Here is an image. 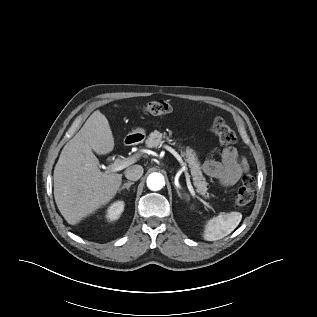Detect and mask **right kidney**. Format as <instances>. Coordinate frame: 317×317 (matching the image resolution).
I'll return each instance as SVG.
<instances>
[{"label":"right kidney","instance_id":"ca27d5eb","mask_svg":"<svg viewBox=\"0 0 317 317\" xmlns=\"http://www.w3.org/2000/svg\"><path fill=\"white\" fill-rule=\"evenodd\" d=\"M123 210H124V202L117 201V202L111 204V206H109V208L106 210L105 218L108 221L117 220L120 217V215L122 214Z\"/></svg>","mask_w":317,"mask_h":317}]
</instances>
